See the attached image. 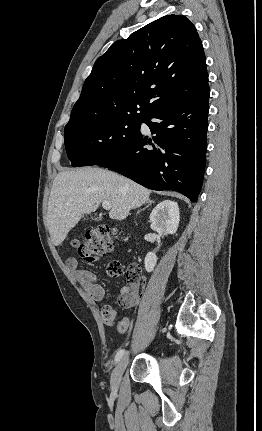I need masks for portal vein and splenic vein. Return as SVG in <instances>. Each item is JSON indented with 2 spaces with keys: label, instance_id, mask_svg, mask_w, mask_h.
I'll use <instances>...</instances> for the list:
<instances>
[{
  "label": "portal vein and splenic vein",
  "instance_id": "18ae733b",
  "mask_svg": "<svg viewBox=\"0 0 262 431\" xmlns=\"http://www.w3.org/2000/svg\"><path fill=\"white\" fill-rule=\"evenodd\" d=\"M102 207H103L105 210H110V209H111V207H112V205H111V203H110V202H108V201H104V202H102Z\"/></svg>",
  "mask_w": 262,
  "mask_h": 431
}]
</instances>
